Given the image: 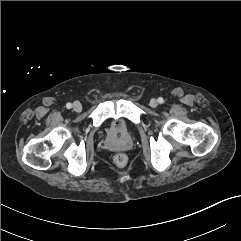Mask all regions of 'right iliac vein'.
I'll return each instance as SVG.
<instances>
[{"mask_svg":"<svg viewBox=\"0 0 241 241\" xmlns=\"http://www.w3.org/2000/svg\"><path fill=\"white\" fill-rule=\"evenodd\" d=\"M72 108H73V110H74L75 112H80V111L82 110V105H81L80 102L75 101V102L73 103Z\"/></svg>","mask_w":241,"mask_h":241,"instance_id":"right-iliac-vein-1","label":"right iliac vein"}]
</instances>
